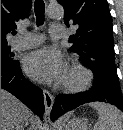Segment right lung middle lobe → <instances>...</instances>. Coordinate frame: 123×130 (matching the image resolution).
I'll list each match as a JSON object with an SVG mask.
<instances>
[{
    "label": "right lung middle lobe",
    "mask_w": 123,
    "mask_h": 130,
    "mask_svg": "<svg viewBox=\"0 0 123 130\" xmlns=\"http://www.w3.org/2000/svg\"><path fill=\"white\" fill-rule=\"evenodd\" d=\"M10 47L7 44H1V60L16 63L17 60L13 58V54L10 53Z\"/></svg>",
    "instance_id": "1"
}]
</instances>
